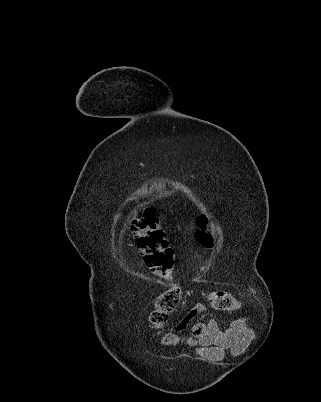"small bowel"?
<instances>
[{
    "instance_id": "c3829d8e",
    "label": "small bowel",
    "mask_w": 321,
    "mask_h": 402,
    "mask_svg": "<svg viewBox=\"0 0 321 402\" xmlns=\"http://www.w3.org/2000/svg\"><path fill=\"white\" fill-rule=\"evenodd\" d=\"M206 309L204 304L191 306L176 326L177 330H184L192 324L191 344L197 347L200 356L220 360L224 358L227 349L239 353L253 339L254 334L249 330L251 326L249 315H242L240 320H231V329L221 328L215 320L193 323L194 319ZM239 333H242V337L237 336Z\"/></svg>"
}]
</instances>
